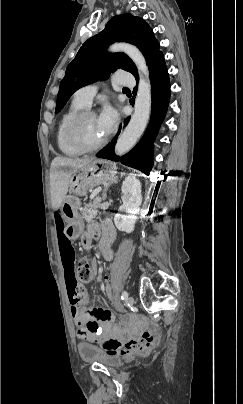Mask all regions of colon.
<instances>
[{
    "instance_id": "5ec220e1",
    "label": "colon",
    "mask_w": 243,
    "mask_h": 404,
    "mask_svg": "<svg viewBox=\"0 0 243 404\" xmlns=\"http://www.w3.org/2000/svg\"><path fill=\"white\" fill-rule=\"evenodd\" d=\"M94 278V269L90 261L86 258L80 260L78 264L77 279L81 283H89ZM105 294L108 298H112V288L107 286ZM71 299L74 303H80L85 300L82 292L76 291L72 293ZM158 343L157 335L151 330L142 332L139 338L132 339L126 343L123 352L127 354H146L150 352ZM103 347L111 352L122 349L121 343L117 339L109 338L102 341Z\"/></svg>"
}]
</instances>
